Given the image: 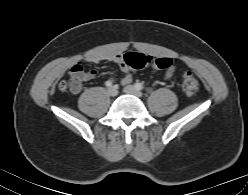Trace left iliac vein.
<instances>
[{"instance_id": "4c4485c4", "label": "left iliac vein", "mask_w": 248, "mask_h": 195, "mask_svg": "<svg viewBox=\"0 0 248 195\" xmlns=\"http://www.w3.org/2000/svg\"><path fill=\"white\" fill-rule=\"evenodd\" d=\"M125 93L134 95L138 98H141L143 96L142 92L137 90L134 86L128 85L124 88Z\"/></svg>"}]
</instances>
